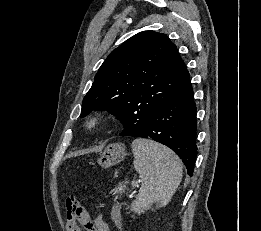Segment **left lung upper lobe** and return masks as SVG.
<instances>
[{
    "label": "left lung upper lobe",
    "mask_w": 261,
    "mask_h": 231,
    "mask_svg": "<svg viewBox=\"0 0 261 231\" xmlns=\"http://www.w3.org/2000/svg\"><path fill=\"white\" fill-rule=\"evenodd\" d=\"M190 81L176 46L162 33L140 32L113 50L83 99L81 117L107 110L124 129L143 127Z\"/></svg>",
    "instance_id": "left-lung-upper-lobe-1"
}]
</instances>
